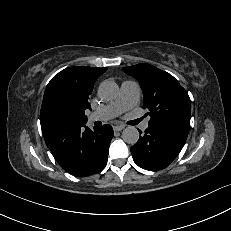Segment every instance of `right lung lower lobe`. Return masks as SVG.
Returning <instances> with one entry per match:
<instances>
[{"instance_id":"98d812e1","label":"right lung lower lobe","mask_w":231,"mask_h":231,"mask_svg":"<svg viewBox=\"0 0 231 231\" xmlns=\"http://www.w3.org/2000/svg\"><path fill=\"white\" fill-rule=\"evenodd\" d=\"M112 137L110 125L92 131L84 124L73 128L64 143L50 150L65 171L77 177L89 176L105 167Z\"/></svg>"}]
</instances>
